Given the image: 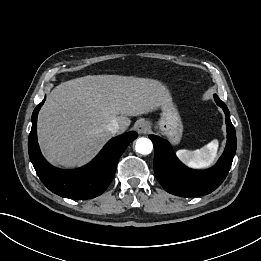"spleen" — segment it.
<instances>
[{
    "mask_svg": "<svg viewBox=\"0 0 261 261\" xmlns=\"http://www.w3.org/2000/svg\"><path fill=\"white\" fill-rule=\"evenodd\" d=\"M218 150V141L213 140L204 147L190 151L181 149L177 151V157L194 169H203L209 167L215 160Z\"/></svg>",
    "mask_w": 261,
    "mask_h": 261,
    "instance_id": "3e777b00",
    "label": "spleen"
}]
</instances>
